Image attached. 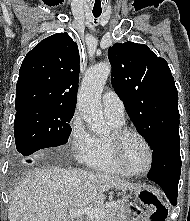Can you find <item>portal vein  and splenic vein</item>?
<instances>
[{
    "instance_id": "obj_1",
    "label": "portal vein and splenic vein",
    "mask_w": 190,
    "mask_h": 221,
    "mask_svg": "<svg viewBox=\"0 0 190 221\" xmlns=\"http://www.w3.org/2000/svg\"><path fill=\"white\" fill-rule=\"evenodd\" d=\"M114 205L115 202H111L109 206H114ZM82 215H86L91 219L96 217L106 218V211L101 208H95L93 206H88L81 209H70L68 218L73 220Z\"/></svg>"
}]
</instances>
